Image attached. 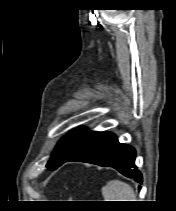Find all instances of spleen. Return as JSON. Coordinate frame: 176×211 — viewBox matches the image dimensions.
<instances>
[{
	"label": "spleen",
	"mask_w": 176,
	"mask_h": 211,
	"mask_svg": "<svg viewBox=\"0 0 176 211\" xmlns=\"http://www.w3.org/2000/svg\"><path fill=\"white\" fill-rule=\"evenodd\" d=\"M104 201H137L133 188L121 180H111L102 187Z\"/></svg>",
	"instance_id": "3e777b00"
}]
</instances>
